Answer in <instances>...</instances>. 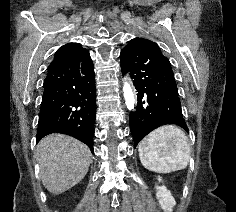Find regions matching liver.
<instances>
[{
	"mask_svg": "<svg viewBox=\"0 0 236 212\" xmlns=\"http://www.w3.org/2000/svg\"><path fill=\"white\" fill-rule=\"evenodd\" d=\"M42 183L53 194H61L78 184L92 160L90 149L62 134L44 137L37 145Z\"/></svg>",
	"mask_w": 236,
	"mask_h": 212,
	"instance_id": "liver-1",
	"label": "liver"
}]
</instances>
